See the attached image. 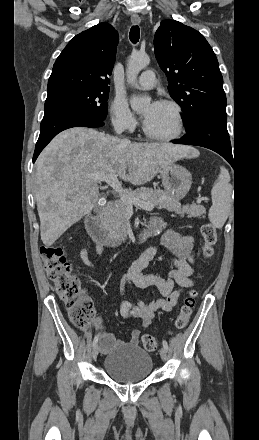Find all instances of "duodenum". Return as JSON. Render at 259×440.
Wrapping results in <instances>:
<instances>
[{"label": "duodenum", "mask_w": 259, "mask_h": 440, "mask_svg": "<svg viewBox=\"0 0 259 440\" xmlns=\"http://www.w3.org/2000/svg\"><path fill=\"white\" fill-rule=\"evenodd\" d=\"M111 206L112 202L109 201L98 210L90 213L86 218V229L88 233L101 245L116 247L126 242L141 243L151 237L160 228L156 220L150 219L140 230L130 236L122 233L109 232L105 227L104 221Z\"/></svg>", "instance_id": "obj_1"}]
</instances>
